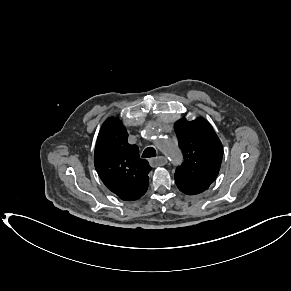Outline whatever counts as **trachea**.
Listing matches in <instances>:
<instances>
[{"label":"trachea","instance_id":"1","mask_svg":"<svg viewBox=\"0 0 291 291\" xmlns=\"http://www.w3.org/2000/svg\"><path fill=\"white\" fill-rule=\"evenodd\" d=\"M156 156V150L153 147H148L144 150L142 157L143 158H150Z\"/></svg>","mask_w":291,"mask_h":291}]
</instances>
